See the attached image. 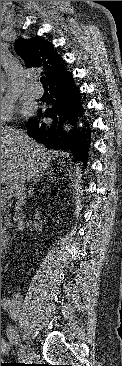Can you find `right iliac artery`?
<instances>
[{
  "label": "right iliac artery",
  "mask_w": 122,
  "mask_h": 366,
  "mask_svg": "<svg viewBox=\"0 0 122 366\" xmlns=\"http://www.w3.org/2000/svg\"><path fill=\"white\" fill-rule=\"evenodd\" d=\"M1 306L3 307L4 310L9 311L11 309V302L8 298H4L1 300ZM7 335L9 337V341L11 343H15L17 340V335L15 334V330L12 328V326H8L7 327ZM18 355L22 356V357H26V354L24 353V350L20 349L18 351Z\"/></svg>",
  "instance_id": "82829eb1"
}]
</instances>
